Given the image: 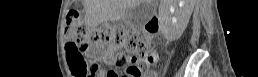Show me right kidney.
Segmentation results:
<instances>
[{"label": "right kidney", "instance_id": "1", "mask_svg": "<svg viewBox=\"0 0 258 77\" xmlns=\"http://www.w3.org/2000/svg\"><path fill=\"white\" fill-rule=\"evenodd\" d=\"M178 2H180V6H182L183 5L182 2H184V0H178ZM171 6H173V5H169V4L165 5L164 4V5H161V9L164 10L165 12H167L168 9ZM191 11H192V7L189 9V14H191ZM173 14L175 15L174 8H173ZM169 19L172 21V24H171V27H170V31H171L170 38L174 39V40L178 39L182 35V33L184 31V29L186 27V24L188 22V19H187L185 24L178 23L177 20L174 17H171V16L169 17Z\"/></svg>", "mask_w": 258, "mask_h": 77}]
</instances>
